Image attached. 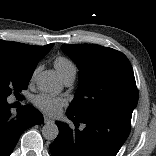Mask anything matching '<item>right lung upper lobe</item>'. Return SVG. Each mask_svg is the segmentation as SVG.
Returning a JSON list of instances; mask_svg holds the SVG:
<instances>
[{
    "label": "right lung upper lobe",
    "mask_w": 156,
    "mask_h": 156,
    "mask_svg": "<svg viewBox=\"0 0 156 156\" xmlns=\"http://www.w3.org/2000/svg\"><path fill=\"white\" fill-rule=\"evenodd\" d=\"M53 45L31 46L0 39V58H6L22 69L34 72L37 63L51 50Z\"/></svg>",
    "instance_id": "right-lung-upper-lobe-1"
}]
</instances>
